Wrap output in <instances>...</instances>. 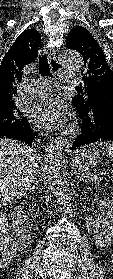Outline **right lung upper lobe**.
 I'll list each match as a JSON object with an SVG mask.
<instances>
[{"mask_svg": "<svg viewBox=\"0 0 113 279\" xmlns=\"http://www.w3.org/2000/svg\"><path fill=\"white\" fill-rule=\"evenodd\" d=\"M40 43L37 30H25L6 53L0 65V108L14 103L15 83L21 81L23 68L35 61Z\"/></svg>", "mask_w": 113, "mask_h": 279, "instance_id": "right-lung-upper-lobe-1", "label": "right lung upper lobe"}]
</instances>
